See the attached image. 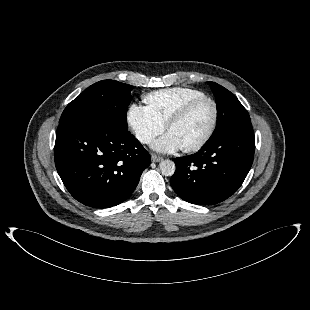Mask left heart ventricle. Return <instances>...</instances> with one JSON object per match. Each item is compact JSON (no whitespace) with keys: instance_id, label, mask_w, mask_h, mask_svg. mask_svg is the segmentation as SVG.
<instances>
[{"instance_id":"obj_1","label":"left heart ventricle","mask_w":310,"mask_h":310,"mask_svg":"<svg viewBox=\"0 0 310 310\" xmlns=\"http://www.w3.org/2000/svg\"><path fill=\"white\" fill-rule=\"evenodd\" d=\"M213 116L212 105L201 102L179 123L169 129L176 135L182 147L191 146L200 141L208 131Z\"/></svg>"}]
</instances>
